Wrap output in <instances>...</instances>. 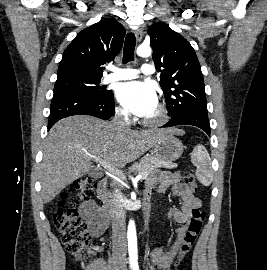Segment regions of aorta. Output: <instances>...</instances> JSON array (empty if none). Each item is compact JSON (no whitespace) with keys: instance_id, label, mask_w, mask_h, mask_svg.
Returning a JSON list of instances; mask_svg holds the SVG:
<instances>
[{"instance_id":"obj_1","label":"aorta","mask_w":267,"mask_h":270,"mask_svg":"<svg viewBox=\"0 0 267 270\" xmlns=\"http://www.w3.org/2000/svg\"><path fill=\"white\" fill-rule=\"evenodd\" d=\"M151 48L148 45H140L137 48V55L140 57H149L151 55ZM128 250H129V257L130 262L137 261V235H136V227L133 220L129 221L128 224Z\"/></svg>"}]
</instances>
